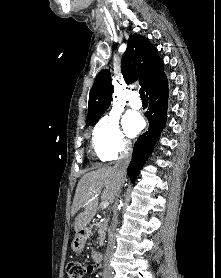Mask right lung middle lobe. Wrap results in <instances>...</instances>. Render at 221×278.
<instances>
[{"mask_svg":"<svg viewBox=\"0 0 221 278\" xmlns=\"http://www.w3.org/2000/svg\"><path fill=\"white\" fill-rule=\"evenodd\" d=\"M94 124H87L86 126H93Z\"/></svg>","mask_w":221,"mask_h":278,"instance_id":"obj_1","label":"right lung middle lobe"}]
</instances>
